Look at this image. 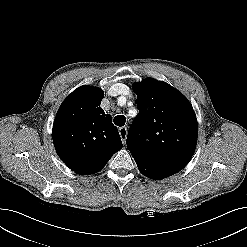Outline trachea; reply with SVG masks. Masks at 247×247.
<instances>
[{"label":"trachea","mask_w":247,"mask_h":247,"mask_svg":"<svg viewBox=\"0 0 247 247\" xmlns=\"http://www.w3.org/2000/svg\"><path fill=\"white\" fill-rule=\"evenodd\" d=\"M125 121H126V118H125L124 115H118L113 120L114 124L117 125V126H119V127L124 126Z\"/></svg>","instance_id":"1"}]
</instances>
